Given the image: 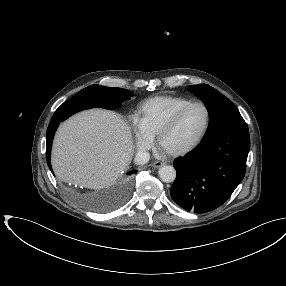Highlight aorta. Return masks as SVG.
I'll return each mask as SVG.
<instances>
[{"instance_id":"aorta-1","label":"aorta","mask_w":286,"mask_h":286,"mask_svg":"<svg viewBox=\"0 0 286 286\" xmlns=\"http://www.w3.org/2000/svg\"><path fill=\"white\" fill-rule=\"evenodd\" d=\"M159 177L163 182L171 183L176 178V171L173 166L165 165L162 166L158 171Z\"/></svg>"}]
</instances>
